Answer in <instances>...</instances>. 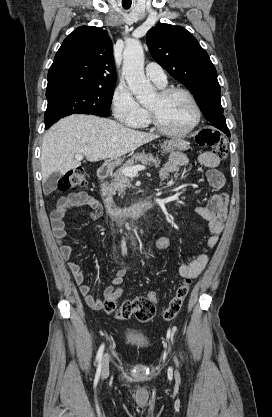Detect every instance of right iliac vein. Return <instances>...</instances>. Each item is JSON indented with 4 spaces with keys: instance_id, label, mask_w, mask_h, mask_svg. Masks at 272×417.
Wrapping results in <instances>:
<instances>
[{
    "instance_id": "1",
    "label": "right iliac vein",
    "mask_w": 272,
    "mask_h": 417,
    "mask_svg": "<svg viewBox=\"0 0 272 417\" xmlns=\"http://www.w3.org/2000/svg\"><path fill=\"white\" fill-rule=\"evenodd\" d=\"M109 369V357L107 354L104 355L101 365V372L102 375H105L108 372Z\"/></svg>"
}]
</instances>
